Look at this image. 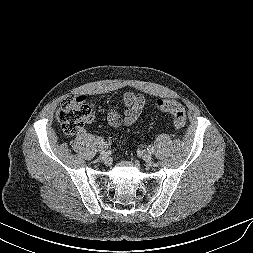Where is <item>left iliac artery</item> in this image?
<instances>
[{"label": "left iliac artery", "instance_id": "1", "mask_svg": "<svg viewBox=\"0 0 253 253\" xmlns=\"http://www.w3.org/2000/svg\"><path fill=\"white\" fill-rule=\"evenodd\" d=\"M147 150H148L150 153H151V152L153 153V151H154V149H153V147H152L151 145L147 147Z\"/></svg>", "mask_w": 253, "mask_h": 253}]
</instances>
